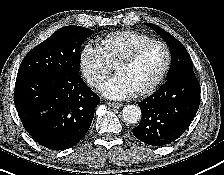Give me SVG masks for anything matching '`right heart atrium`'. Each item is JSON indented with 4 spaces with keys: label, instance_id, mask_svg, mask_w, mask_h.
I'll return each instance as SVG.
<instances>
[{
    "label": "right heart atrium",
    "instance_id": "1",
    "mask_svg": "<svg viewBox=\"0 0 224 175\" xmlns=\"http://www.w3.org/2000/svg\"><path fill=\"white\" fill-rule=\"evenodd\" d=\"M81 67L88 83L98 87L113 70L104 52L99 46L86 45L81 52Z\"/></svg>",
    "mask_w": 224,
    "mask_h": 175
}]
</instances>
